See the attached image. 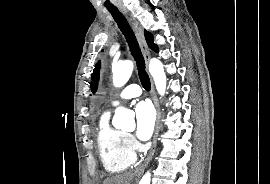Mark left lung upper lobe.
<instances>
[{
    "label": "left lung upper lobe",
    "instance_id": "left-lung-upper-lobe-1",
    "mask_svg": "<svg viewBox=\"0 0 270 184\" xmlns=\"http://www.w3.org/2000/svg\"><path fill=\"white\" fill-rule=\"evenodd\" d=\"M145 39H146V42H147L149 48H151L155 52H158V47H157V45L154 44L153 36H152V34L150 32L145 31ZM100 66H101V62L99 61L95 65V68H94L93 73H92V78L95 77V79H93L92 82H91V91L93 93H95V91L97 89V81L99 79Z\"/></svg>",
    "mask_w": 270,
    "mask_h": 184
}]
</instances>
